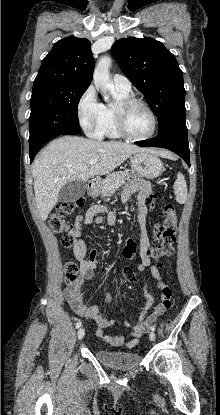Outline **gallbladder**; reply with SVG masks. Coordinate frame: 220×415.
Returning a JSON list of instances; mask_svg holds the SVG:
<instances>
[{
  "mask_svg": "<svg viewBox=\"0 0 220 415\" xmlns=\"http://www.w3.org/2000/svg\"><path fill=\"white\" fill-rule=\"evenodd\" d=\"M86 191V183L83 181H71L59 191V202H75L81 198Z\"/></svg>",
  "mask_w": 220,
  "mask_h": 415,
  "instance_id": "gallbladder-1",
  "label": "gallbladder"
}]
</instances>
